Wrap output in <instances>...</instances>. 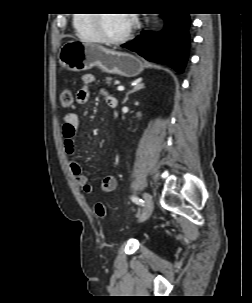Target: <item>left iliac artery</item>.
I'll return each instance as SVG.
<instances>
[{
    "mask_svg": "<svg viewBox=\"0 0 252 303\" xmlns=\"http://www.w3.org/2000/svg\"><path fill=\"white\" fill-rule=\"evenodd\" d=\"M132 201L135 202L136 204H139L141 206H144V201L136 196H132Z\"/></svg>",
    "mask_w": 252,
    "mask_h": 303,
    "instance_id": "44dca946",
    "label": "left iliac artery"
}]
</instances>
